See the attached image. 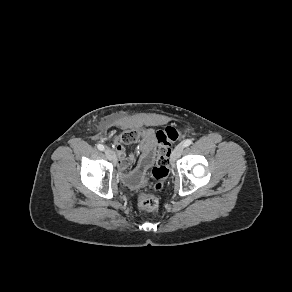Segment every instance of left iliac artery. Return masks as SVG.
Instances as JSON below:
<instances>
[{
    "label": "left iliac artery",
    "instance_id": "left-iliac-artery-1",
    "mask_svg": "<svg viewBox=\"0 0 292 292\" xmlns=\"http://www.w3.org/2000/svg\"><path fill=\"white\" fill-rule=\"evenodd\" d=\"M191 144H192V140H191V139H187V140H185V141L182 143L183 147H188V146L191 145Z\"/></svg>",
    "mask_w": 292,
    "mask_h": 292
}]
</instances>
